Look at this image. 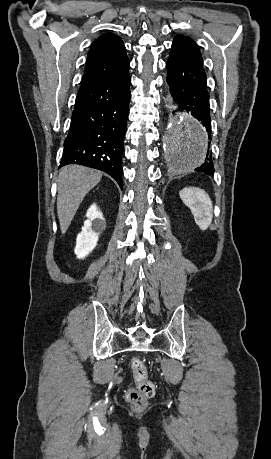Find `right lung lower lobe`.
<instances>
[{
    "mask_svg": "<svg viewBox=\"0 0 271 459\" xmlns=\"http://www.w3.org/2000/svg\"><path fill=\"white\" fill-rule=\"evenodd\" d=\"M130 82L127 72L78 92L59 167L80 164L98 169L112 176L122 188Z\"/></svg>",
    "mask_w": 271,
    "mask_h": 459,
    "instance_id": "98d812e1",
    "label": "right lung lower lobe"
}]
</instances>
